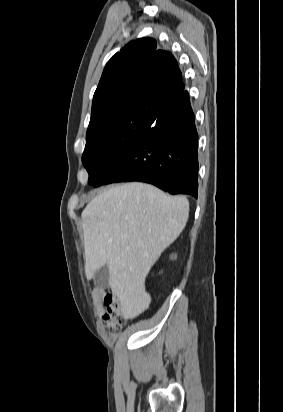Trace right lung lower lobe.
Instances as JSON below:
<instances>
[{
  "label": "right lung lower lobe",
  "mask_w": 283,
  "mask_h": 412,
  "mask_svg": "<svg viewBox=\"0 0 283 412\" xmlns=\"http://www.w3.org/2000/svg\"><path fill=\"white\" fill-rule=\"evenodd\" d=\"M198 134L188 92L183 90L99 179L98 187L114 182L151 183L171 194L197 198Z\"/></svg>",
  "instance_id": "1"
}]
</instances>
